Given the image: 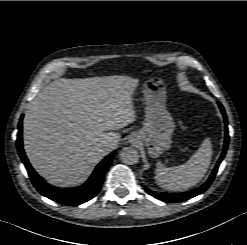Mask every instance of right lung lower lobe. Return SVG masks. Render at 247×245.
<instances>
[{"label":"right lung lower lobe","instance_id":"98d812e1","mask_svg":"<svg viewBox=\"0 0 247 245\" xmlns=\"http://www.w3.org/2000/svg\"><path fill=\"white\" fill-rule=\"evenodd\" d=\"M22 119L21 116L19 125H18V136H17V149L22 162L24 163L29 177L37 189V191L43 196L64 205H78L84 202L91 200L95 197L102 186L105 172L111 165L115 152H112L109 156L103 159L95 168L90 178L81 186L68 189L61 190L56 189L48 185L31 167L25 152L23 150L22 144Z\"/></svg>","mask_w":247,"mask_h":245}]
</instances>
